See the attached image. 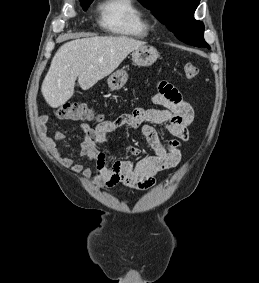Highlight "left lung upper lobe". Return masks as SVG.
<instances>
[{"label": "left lung upper lobe", "mask_w": 259, "mask_h": 283, "mask_svg": "<svg viewBox=\"0 0 259 283\" xmlns=\"http://www.w3.org/2000/svg\"><path fill=\"white\" fill-rule=\"evenodd\" d=\"M149 8L180 41L197 47H209L203 38L204 25L194 19L200 0H139Z\"/></svg>", "instance_id": "left-lung-upper-lobe-1"}]
</instances>
